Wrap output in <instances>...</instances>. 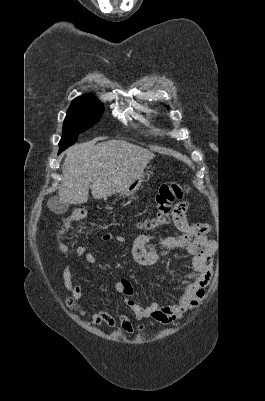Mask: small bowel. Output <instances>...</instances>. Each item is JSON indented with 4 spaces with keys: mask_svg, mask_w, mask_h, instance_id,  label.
I'll list each match as a JSON object with an SVG mask.
<instances>
[{
    "mask_svg": "<svg viewBox=\"0 0 265 401\" xmlns=\"http://www.w3.org/2000/svg\"><path fill=\"white\" fill-rule=\"evenodd\" d=\"M188 208L189 204L183 201L176 204L173 209V224L180 232L179 235L161 238L140 235L133 241L131 252L139 268L155 265L163 258L171 255L173 251H181L183 254L192 257V271L181 280V293L174 304L170 306H161L157 302L141 306L132 299L134 290L127 279H122L115 284V292L124 297V303L130 308L137 320L151 318L158 323H171L195 308L204 296V288L212 273L215 246L207 236L211 229L210 224L189 223L186 215ZM101 240L121 247L126 241V236L123 234H104L101 236ZM74 255L75 257L84 256L86 261L91 264L97 262L89 245L78 246ZM75 273L76 267L68 262L64 266L62 277L65 288L75 300H79L83 297V287L81 283H73ZM83 314L89 318L88 324L90 325L115 328L118 323L120 328L129 335L140 333L146 327L144 324L133 325L130 318L124 313H119L117 318L102 309L95 312L83 311Z\"/></svg>",
    "mask_w": 265,
    "mask_h": 401,
    "instance_id": "small-bowel-1",
    "label": "small bowel"
}]
</instances>
